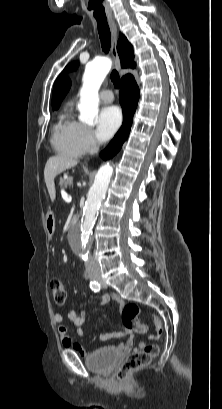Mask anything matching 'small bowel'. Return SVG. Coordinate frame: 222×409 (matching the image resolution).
I'll return each mask as SVG.
<instances>
[{"label": "small bowel", "mask_w": 222, "mask_h": 409, "mask_svg": "<svg viewBox=\"0 0 222 409\" xmlns=\"http://www.w3.org/2000/svg\"><path fill=\"white\" fill-rule=\"evenodd\" d=\"M110 300H113L121 309L124 308L125 302L124 300L116 294L109 295V294H104L101 297V300L99 302L100 306L106 305ZM68 319L73 323V325L76 327L77 334L79 336H83V324L85 322V313L81 311L79 314L75 310H71L68 312ZM54 321L58 325V332L62 336L63 341L66 346L72 347L78 354L84 356V355H89L95 351H89L86 350L81 344L74 342L69 336H68V331L65 325H63V317L61 314L57 313L54 316ZM117 338H125L123 342L118 344L116 346L117 349L122 350L124 352H129L133 349L134 343H133V333L130 329L127 327L113 333H103L101 334V339L106 341V340H111V339H117ZM154 336H150L149 339H153ZM144 346V342L141 341L138 343L136 346V349L141 348Z\"/></svg>", "instance_id": "obj_1"}]
</instances>
